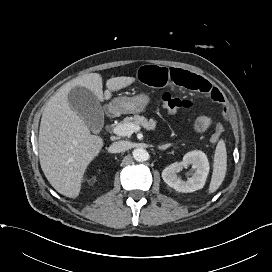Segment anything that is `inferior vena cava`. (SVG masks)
I'll return each instance as SVG.
<instances>
[{"label":"inferior vena cava","instance_id":"obj_1","mask_svg":"<svg viewBox=\"0 0 272 272\" xmlns=\"http://www.w3.org/2000/svg\"><path fill=\"white\" fill-rule=\"evenodd\" d=\"M131 148V143L128 141H117L110 146V151L113 153L125 152Z\"/></svg>","mask_w":272,"mask_h":272}]
</instances>
